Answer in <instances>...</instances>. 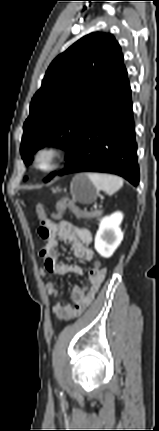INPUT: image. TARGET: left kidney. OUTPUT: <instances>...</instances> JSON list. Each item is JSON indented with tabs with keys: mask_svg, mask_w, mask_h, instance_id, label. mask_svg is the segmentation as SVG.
Listing matches in <instances>:
<instances>
[{
	"mask_svg": "<svg viewBox=\"0 0 159 431\" xmlns=\"http://www.w3.org/2000/svg\"><path fill=\"white\" fill-rule=\"evenodd\" d=\"M122 219V213L115 212L100 221L95 236V249L104 258L111 257L123 239L120 229Z\"/></svg>",
	"mask_w": 159,
	"mask_h": 431,
	"instance_id": "5707ae66",
	"label": "left kidney"
}]
</instances>
